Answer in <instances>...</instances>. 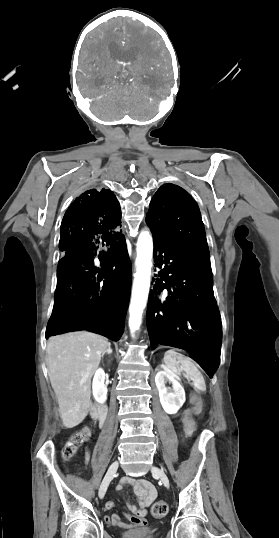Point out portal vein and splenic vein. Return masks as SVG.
I'll list each match as a JSON object with an SVG mask.
<instances>
[{
    "mask_svg": "<svg viewBox=\"0 0 279 538\" xmlns=\"http://www.w3.org/2000/svg\"><path fill=\"white\" fill-rule=\"evenodd\" d=\"M97 354H98V352H97ZM187 384H190V381H187Z\"/></svg>",
    "mask_w": 279,
    "mask_h": 538,
    "instance_id": "1",
    "label": "portal vein and splenic vein"
}]
</instances>
